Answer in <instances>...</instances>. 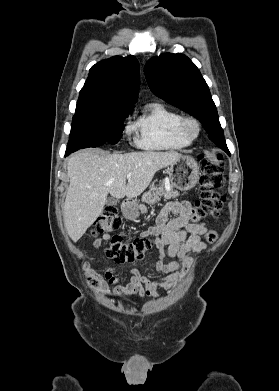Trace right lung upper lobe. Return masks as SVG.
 Listing matches in <instances>:
<instances>
[{
	"mask_svg": "<svg viewBox=\"0 0 279 391\" xmlns=\"http://www.w3.org/2000/svg\"><path fill=\"white\" fill-rule=\"evenodd\" d=\"M139 84V63L134 56L100 61L90 69L76 112L132 108L138 98Z\"/></svg>",
	"mask_w": 279,
	"mask_h": 391,
	"instance_id": "1",
	"label": "right lung upper lobe"
}]
</instances>
